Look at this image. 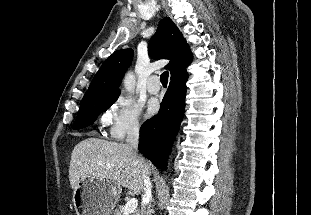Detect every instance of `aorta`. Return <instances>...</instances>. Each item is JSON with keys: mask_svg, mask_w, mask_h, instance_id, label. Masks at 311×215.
Instances as JSON below:
<instances>
[{"mask_svg": "<svg viewBox=\"0 0 311 215\" xmlns=\"http://www.w3.org/2000/svg\"><path fill=\"white\" fill-rule=\"evenodd\" d=\"M124 88L128 93H134L136 78L132 72L126 73L123 80Z\"/></svg>", "mask_w": 311, "mask_h": 215, "instance_id": "1", "label": "aorta"}]
</instances>
